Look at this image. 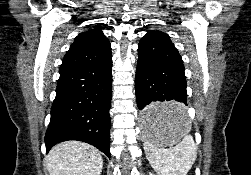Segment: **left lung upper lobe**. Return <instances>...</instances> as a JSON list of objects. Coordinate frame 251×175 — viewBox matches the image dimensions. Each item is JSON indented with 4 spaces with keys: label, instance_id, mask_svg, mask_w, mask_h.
<instances>
[{
    "label": "left lung upper lobe",
    "instance_id": "5c2ea615",
    "mask_svg": "<svg viewBox=\"0 0 251 175\" xmlns=\"http://www.w3.org/2000/svg\"><path fill=\"white\" fill-rule=\"evenodd\" d=\"M149 32H152V33H160V34H162L163 36H165V37H167L168 39H170V37H169L168 34H166V33H163V32L157 31V30H151V31H149Z\"/></svg>",
    "mask_w": 251,
    "mask_h": 175
}]
</instances>
